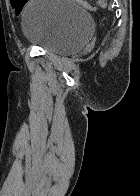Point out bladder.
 I'll use <instances>...</instances> for the list:
<instances>
[{
  "label": "bladder",
  "mask_w": 140,
  "mask_h": 196,
  "mask_svg": "<svg viewBox=\"0 0 140 196\" xmlns=\"http://www.w3.org/2000/svg\"><path fill=\"white\" fill-rule=\"evenodd\" d=\"M25 40L54 54L81 50L93 32L88 10L73 0H32L22 14Z\"/></svg>",
  "instance_id": "obj_1"
}]
</instances>
